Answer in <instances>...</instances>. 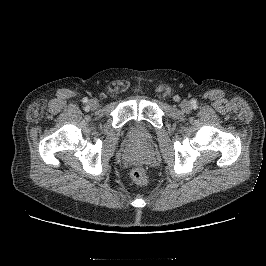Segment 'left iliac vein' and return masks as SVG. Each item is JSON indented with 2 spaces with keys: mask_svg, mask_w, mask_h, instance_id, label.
<instances>
[{
  "mask_svg": "<svg viewBox=\"0 0 266 266\" xmlns=\"http://www.w3.org/2000/svg\"><path fill=\"white\" fill-rule=\"evenodd\" d=\"M180 108L183 112H189L191 110V106L188 102H182Z\"/></svg>",
  "mask_w": 266,
  "mask_h": 266,
  "instance_id": "4c4485c4",
  "label": "left iliac vein"
}]
</instances>
